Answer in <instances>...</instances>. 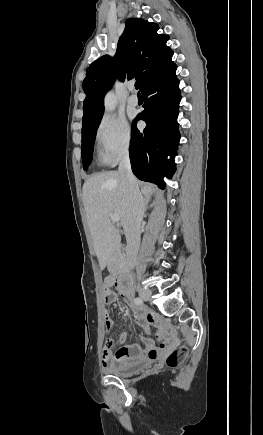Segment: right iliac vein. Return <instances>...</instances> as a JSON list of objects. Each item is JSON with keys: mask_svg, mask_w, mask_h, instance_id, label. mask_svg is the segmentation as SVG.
Returning a JSON list of instances; mask_svg holds the SVG:
<instances>
[{"mask_svg": "<svg viewBox=\"0 0 263 435\" xmlns=\"http://www.w3.org/2000/svg\"><path fill=\"white\" fill-rule=\"evenodd\" d=\"M138 293H139L140 298H142L144 300H150L151 295H152L151 291L147 288H140L138 290Z\"/></svg>", "mask_w": 263, "mask_h": 435, "instance_id": "right-iliac-vein-1", "label": "right iliac vein"}]
</instances>
